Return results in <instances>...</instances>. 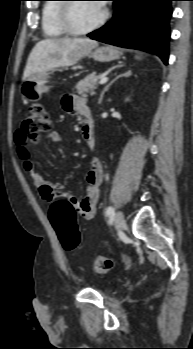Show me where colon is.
<instances>
[{"label":"colon","instance_id":"1","mask_svg":"<svg viewBox=\"0 0 193 349\" xmlns=\"http://www.w3.org/2000/svg\"><path fill=\"white\" fill-rule=\"evenodd\" d=\"M52 118L40 104L30 106L22 123V131L27 140L39 141L51 135ZM77 212L68 200L60 199L52 202L49 209V219L55 228L63 248L67 251H77L80 244V234L76 223ZM98 273L109 272L113 261L97 256L93 262Z\"/></svg>","mask_w":193,"mask_h":349}]
</instances>
